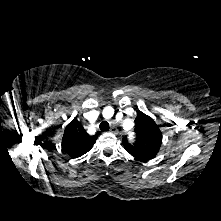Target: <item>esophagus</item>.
Returning <instances> with one entry per match:
<instances>
[{"mask_svg": "<svg viewBox=\"0 0 221 221\" xmlns=\"http://www.w3.org/2000/svg\"><path fill=\"white\" fill-rule=\"evenodd\" d=\"M110 132L114 134H118V130L116 129V127H111Z\"/></svg>", "mask_w": 221, "mask_h": 221, "instance_id": "obj_1", "label": "esophagus"}]
</instances>
